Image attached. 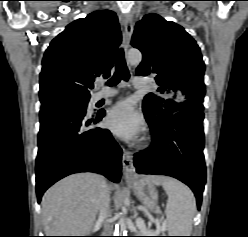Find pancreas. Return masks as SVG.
<instances>
[{
    "label": "pancreas",
    "mask_w": 248,
    "mask_h": 237,
    "mask_svg": "<svg viewBox=\"0 0 248 237\" xmlns=\"http://www.w3.org/2000/svg\"><path fill=\"white\" fill-rule=\"evenodd\" d=\"M164 230H165V225L162 224L161 228H158L156 231H151V230H148L146 228H140V233H142V235H149L150 233L164 232Z\"/></svg>",
    "instance_id": "obj_1"
}]
</instances>
